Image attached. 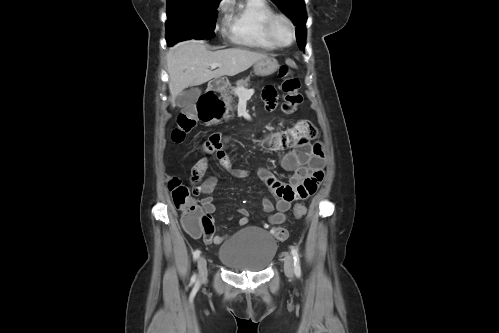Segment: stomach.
<instances>
[{"mask_svg": "<svg viewBox=\"0 0 499 333\" xmlns=\"http://www.w3.org/2000/svg\"><path fill=\"white\" fill-rule=\"evenodd\" d=\"M279 67V64L274 58H265L257 61L254 64V72L258 76H268L273 74Z\"/></svg>", "mask_w": 499, "mask_h": 333, "instance_id": "stomach-1", "label": "stomach"}]
</instances>
